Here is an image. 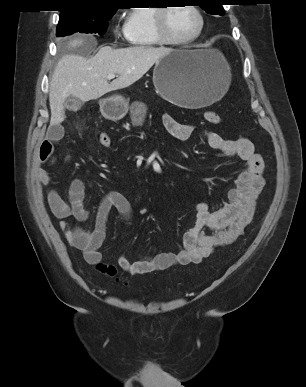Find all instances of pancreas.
<instances>
[{
	"label": "pancreas",
	"mask_w": 306,
	"mask_h": 387,
	"mask_svg": "<svg viewBox=\"0 0 306 387\" xmlns=\"http://www.w3.org/2000/svg\"><path fill=\"white\" fill-rule=\"evenodd\" d=\"M136 105H139L141 107V109L143 110V112L145 111V105L141 104V103H134V106ZM137 116V112L136 111H132V117H136Z\"/></svg>",
	"instance_id": "obj_1"
}]
</instances>
